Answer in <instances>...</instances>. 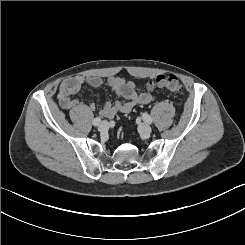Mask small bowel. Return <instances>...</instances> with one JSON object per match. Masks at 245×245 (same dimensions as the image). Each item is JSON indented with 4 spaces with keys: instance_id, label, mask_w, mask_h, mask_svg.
Returning a JSON list of instances; mask_svg holds the SVG:
<instances>
[{
    "instance_id": "1",
    "label": "small bowel",
    "mask_w": 245,
    "mask_h": 245,
    "mask_svg": "<svg viewBox=\"0 0 245 245\" xmlns=\"http://www.w3.org/2000/svg\"><path fill=\"white\" fill-rule=\"evenodd\" d=\"M103 83L104 80L95 75L70 77L61 83L58 92L59 105L69 111L70 118L75 124L84 126L92 112L96 110V106L92 103L79 102L74 95L79 93L84 85L100 87ZM106 84L122 97V100L114 103L104 102L99 109V113L104 117L113 118L119 113H129L134 106L149 104L154 100L150 92L140 91L134 82L124 78L112 76L107 78Z\"/></svg>"
}]
</instances>
